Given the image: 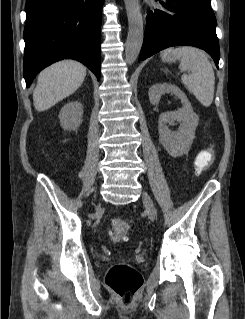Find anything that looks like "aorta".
<instances>
[{
	"instance_id": "aorta-1",
	"label": "aorta",
	"mask_w": 245,
	"mask_h": 319,
	"mask_svg": "<svg viewBox=\"0 0 245 319\" xmlns=\"http://www.w3.org/2000/svg\"><path fill=\"white\" fill-rule=\"evenodd\" d=\"M128 18V35L125 43V59L131 65L139 56L143 39V17L139 0H124Z\"/></svg>"
}]
</instances>
